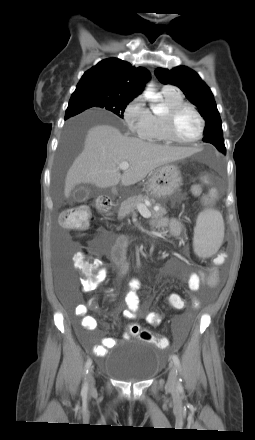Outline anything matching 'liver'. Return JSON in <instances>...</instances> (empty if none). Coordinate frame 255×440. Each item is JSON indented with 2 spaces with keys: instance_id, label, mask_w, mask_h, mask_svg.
Segmentation results:
<instances>
[{
  "instance_id": "obj_1",
  "label": "liver",
  "mask_w": 255,
  "mask_h": 440,
  "mask_svg": "<svg viewBox=\"0 0 255 440\" xmlns=\"http://www.w3.org/2000/svg\"><path fill=\"white\" fill-rule=\"evenodd\" d=\"M191 147L157 145L126 137L110 125H97L87 132L84 148L67 172L64 195L70 196L76 185L93 184L99 188L134 185L158 167L189 157ZM128 162L123 174L118 165Z\"/></svg>"
}]
</instances>
